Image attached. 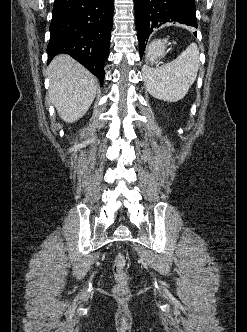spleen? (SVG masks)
Masks as SVG:
<instances>
[{
  "mask_svg": "<svg viewBox=\"0 0 247 332\" xmlns=\"http://www.w3.org/2000/svg\"><path fill=\"white\" fill-rule=\"evenodd\" d=\"M199 66V49L192 43L173 61L160 67H146L145 87L157 99L177 102L194 83Z\"/></svg>",
  "mask_w": 247,
  "mask_h": 332,
  "instance_id": "3e777b00",
  "label": "spleen"
}]
</instances>
